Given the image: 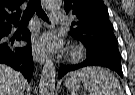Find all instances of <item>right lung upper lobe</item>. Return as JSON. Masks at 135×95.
<instances>
[{
	"instance_id": "1",
	"label": "right lung upper lobe",
	"mask_w": 135,
	"mask_h": 95,
	"mask_svg": "<svg viewBox=\"0 0 135 95\" xmlns=\"http://www.w3.org/2000/svg\"><path fill=\"white\" fill-rule=\"evenodd\" d=\"M24 1L25 0H0V29L3 27H11V24L15 26L19 24L21 13L20 5Z\"/></svg>"
}]
</instances>
